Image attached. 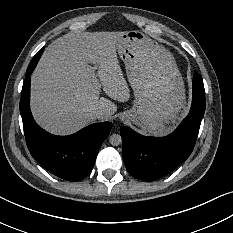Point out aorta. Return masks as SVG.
Masks as SVG:
<instances>
[{"mask_svg":"<svg viewBox=\"0 0 233 233\" xmlns=\"http://www.w3.org/2000/svg\"><path fill=\"white\" fill-rule=\"evenodd\" d=\"M109 142L111 145L113 146H118L122 143V138L119 134H112L110 137H109Z\"/></svg>","mask_w":233,"mask_h":233,"instance_id":"aorta-1","label":"aorta"}]
</instances>
